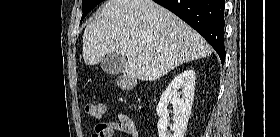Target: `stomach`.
Instances as JSON below:
<instances>
[{
	"label": "stomach",
	"mask_w": 280,
	"mask_h": 137,
	"mask_svg": "<svg viewBox=\"0 0 280 137\" xmlns=\"http://www.w3.org/2000/svg\"><path fill=\"white\" fill-rule=\"evenodd\" d=\"M121 86L123 87H126V84L125 83H120Z\"/></svg>",
	"instance_id": "obj_1"
}]
</instances>
